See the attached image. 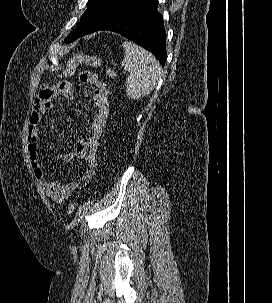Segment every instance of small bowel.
<instances>
[{
	"instance_id": "1",
	"label": "small bowel",
	"mask_w": 272,
	"mask_h": 303,
	"mask_svg": "<svg viewBox=\"0 0 272 303\" xmlns=\"http://www.w3.org/2000/svg\"><path fill=\"white\" fill-rule=\"evenodd\" d=\"M80 79L92 88V103L95 111L90 120L86 137L79 138L71 143L74 152H60L58 154V159L63 162H69L74 157L84 162V172L78 179L67 182L48 180L41 165L39 154V131L42 117L52 108L55 98L59 97L65 100L74 98V84L70 81H61L56 85L43 87L35 98L30 114L27 150L33 174L46 195L56 204H63L74 190L94 176L98 167L99 140L109 115L108 89L105 82L96 74L90 72L81 73Z\"/></svg>"
}]
</instances>
